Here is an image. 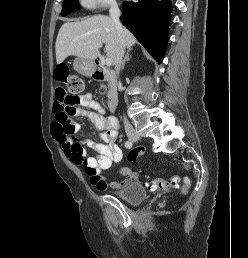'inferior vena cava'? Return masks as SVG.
I'll return each instance as SVG.
<instances>
[{"label": "inferior vena cava", "mask_w": 248, "mask_h": 258, "mask_svg": "<svg viewBox=\"0 0 248 258\" xmlns=\"http://www.w3.org/2000/svg\"><path fill=\"white\" fill-rule=\"evenodd\" d=\"M109 15L115 24L117 35H118V47L116 52L115 70L117 74H119L126 45H125V39L123 35V27L119 20L120 10L116 2L111 3L110 9H109ZM124 127H125V132L127 134H131L134 132L132 125L125 117H124Z\"/></svg>", "instance_id": "inferior-vena-cava-1"}]
</instances>
